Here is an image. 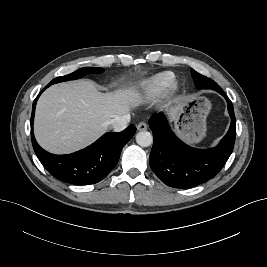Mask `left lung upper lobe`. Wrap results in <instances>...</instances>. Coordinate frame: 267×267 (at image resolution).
<instances>
[{"label":"left lung upper lobe","instance_id":"1","mask_svg":"<svg viewBox=\"0 0 267 267\" xmlns=\"http://www.w3.org/2000/svg\"><path fill=\"white\" fill-rule=\"evenodd\" d=\"M191 75H192V77L194 79V83H195L196 87L199 88V89L220 88L216 82H214L213 80L207 78L206 76H203V75L199 74L198 72H196L192 68H191Z\"/></svg>","mask_w":267,"mask_h":267}]
</instances>
